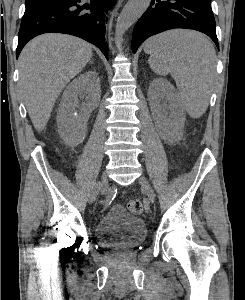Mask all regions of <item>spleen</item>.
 Here are the masks:
<instances>
[{
    "label": "spleen",
    "mask_w": 245,
    "mask_h": 300,
    "mask_svg": "<svg viewBox=\"0 0 245 300\" xmlns=\"http://www.w3.org/2000/svg\"><path fill=\"white\" fill-rule=\"evenodd\" d=\"M144 51L150 55L149 65L154 73L172 75L189 115H203L211 95L216 62L210 41L200 33L177 29L149 38Z\"/></svg>",
    "instance_id": "obj_1"
}]
</instances>
